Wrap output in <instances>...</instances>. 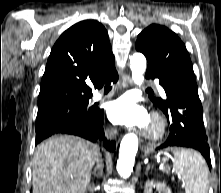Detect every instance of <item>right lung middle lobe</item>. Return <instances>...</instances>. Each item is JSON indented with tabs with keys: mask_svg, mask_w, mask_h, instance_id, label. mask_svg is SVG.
<instances>
[{
	"mask_svg": "<svg viewBox=\"0 0 221 193\" xmlns=\"http://www.w3.org/2000/svg\"><path fill=\"white\" fill-rule=\"evenodd\" d=\"M87 99H55L38 103L36 135L59 130L70 125H90L97 111L87 108Z\"/></svg>",
	"mask_w": 221,
	"mask_h": 193,
	"instance_id": "obj_1",
	"label": "right lung middle lobe"
}]
</instances>
